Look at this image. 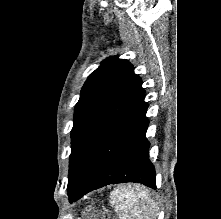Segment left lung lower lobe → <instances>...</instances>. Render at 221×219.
I'll list each match as a JSON object with an SVG mask.
<instances>
[{
  "label": "left lung lower lobe",
  "instance_id": "obj_1",
  "mask_svg": "<svg viewBox=\"0 0 221 219\" xmlns=\"http://www.w3.org/2000/svg\"><path fill=\"white\" fill-rule=\"evenodd\" d=\"M145 92L109 128L93 150L69 194L72 203L86 193L108 184L138 182L156 188L149 160Z\"/></svg>",
  "mask_w": 221,
  "mask_h": 219
}]
</instances>
